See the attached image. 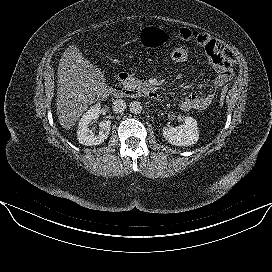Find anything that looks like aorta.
Wrapping results in <instances>:
<instances>
[{
  "label": "aorta",
  "instance_id": "obj_1",
  "mask_svg": "<svg viewBox=\"0 0 272 272\" xmlns=\"http://www.w3.org/2000/svg\"><path fill=\"white\" fill-rule=\"evenodd\" d=\"M132 114H139L142 111V105L139 101H132L129 105Z\"/></svg>",
  "mask_w": 272,
  "mask_h": 272
}]
</instances>
